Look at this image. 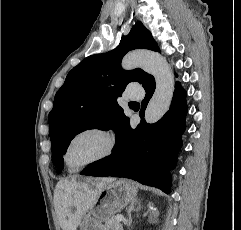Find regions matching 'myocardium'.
<instances>
[{
    "label": "myocardium",
    "instance_id": "myocardium-1",
    "mask_svg": "<svg viewBox=\"0 0 241 230\" xmlns=\"http://www.w3.org/2000/svg\"><path fill=\"white\" fill-rule=\"evenodd\" d=\"M85 133H98V134L102 135L107 141V147H106L105 151L102 154L98 155L97 157H95L89 161H86L83 164H81L75 168H70L68 165V161H67V154H68L69 147L75 138H77L78 136L85 134ZM115 148H116V140H115L113 134L107 128H105L104 126H101V125H90V126H86L82 129L78 130L68 139V141L65 145L64 151H63L62 158H63L64 165L66 166V168L69 171H78V170H81L92 164H95L97 162H100V161H103V160L109 158L114 153Z\"/></svg>",
    "mask_w": 241,
    "mask_h": 230
}]
</instances>
